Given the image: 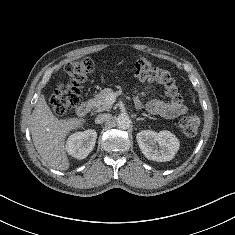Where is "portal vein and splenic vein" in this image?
Returning <instances> with one entry per match:
<instances>
[{"label": "portal vein and splenic vein", "mask_w": 235, "mask_h": 235, "mask_svg": "<svg viewBox=\"0 0 235 235\" xmlns=\"http://www.w3.org/2000/svg\"><path fill=\"white\" fill-rule=\"evenodd\" d=\"M107 101L110 103V104H113L115 101H116V94L115 93H111L109 95V97L107 98Z\"/></svg>", "instance_id": "1"}]
</instances>
